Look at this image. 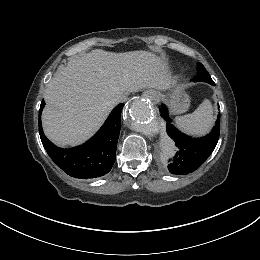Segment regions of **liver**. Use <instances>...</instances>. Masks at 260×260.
<instances>
[{
	"mask_svg": "<svg viewBox=\"0 0 260 260\" xmlns=\"http://www.w3.org/2000/svg\"><path fill=\"white\" fill-rule=\"evenodd\" d=\"M170 84L166 64L151 52L96 49L73 57L47 86L43 131L58 146L81 144L103 124L116 96Z\"/></svg>",
	"mask_w": 260,
	"mask_h": 260,
	"instance_id": "6515ba94",
	"label": "liver"
}]
</instances>
